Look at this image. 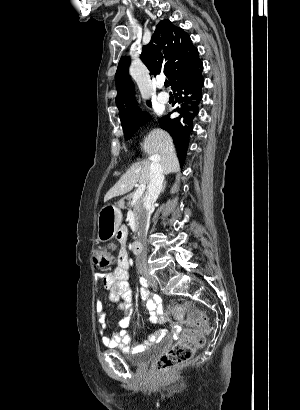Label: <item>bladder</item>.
Here are the masks:
<instances>
[{
    "label": "bladder",
    "instance_id": "31cf9c89",
    "mask_svg": "<svg viewBox=\"0 0 300 410\" xmlns=\"http://www.w3.org/2000/svg\"><path fill=\"white\" fill-rule=\"evenodd\" d=\"M154 354L155 350L153 348H148L138 355H130L125 357V360L132 366L143 367L151 361Z\"/></svg>",
    "mask_w": 300,
    "mask_h": 410
}]
</instances>
